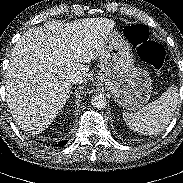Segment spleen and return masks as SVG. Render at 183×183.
Returning a JSON list of instances; mask_svg holds the SVG:
<instances>
[{
  "label": "spleen",
  "mask_w": 183,
  "mask_h": 183,
  "mask_svg": "<svg viewBox=\"0 0 183 183\" xmlns=\"http://www.w3.org/2000/svg\"><path fill=\"white\" fill-rule=\"evenodd\" d=\"M177 87L171 86L157 100L149 103L137 113H123L130 129L142 135H154L166 129L177 107Z\"/></svg>",
  "instance_id": "spleen-1"
}]
</instances>
